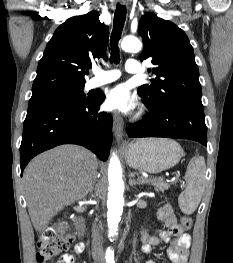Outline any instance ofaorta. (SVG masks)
<instances>
[{
    "label": "aorta",
    "instance_id": "762f6f07",
    "mask_svg": "<svg viewBox=\"0 0 233 263\" xmlns=\"http://www.w3.org/2000/svg\"><path fill=\"white\" fill-rule=\"evenodd\" d=\"M121 47L126 52H139L142 43L134 36H126ZM108 200H107V222L109 227V236H114L118 230V224L121 219L124 204V183L122 180V170L118 157L113 153L108 168ZM112 250H107V258L113 259Z\"/></svg>",
    "mask_w": 233,
    "mask_h": 263
}]
</instances>
